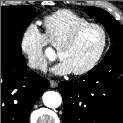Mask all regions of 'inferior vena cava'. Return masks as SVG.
Listing matches in <instances>:
<instances>
[{"label":"inferior vena cava","instance_id":"602c4592","mask_svg":"<svg viewBox=\"0 0 123 123\" xmlns=\"http://www.w3.org/2000/svg\"><path fill=\"white\" fill-rule=\"evenodd\" d=\"M29 67L34 69L46 70L47 65L42 59H30Z\"/></svg>","mask_w":123,"mask_h":123}]
</instances>
